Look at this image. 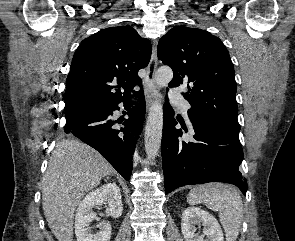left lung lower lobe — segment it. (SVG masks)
Returning <instances> with one entry per match:
<instances>
[{
	"label": "left lung lower lobe",
	"mask_w": 295,
	"mask_h": 241,
	"mask_svg": "<svg viewBox=\"0 0 295 241\" xmlns=\"http://www.w3.org/2000/svg\"><path fill=\"white\" fill-rule=\"evenodd\" d=\"M163 113L162 165L166 194L189 184L227 182L238 186L246 195L247 182L239 171L243 159L239 134L208 122L191 121L196 141H182L178 139L182 131L175 128L177 121L169 104L164 105Z\"/></svg>",
	"instance_id": "left-lung-lower-lobe-1"
}]
</instances>
